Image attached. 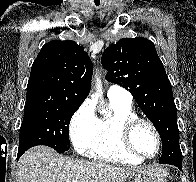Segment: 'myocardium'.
Listing matches in <instances>:
<instances>
[{"label": "myocardium", "instance_id": "1", "mask_svg": "<svg viewBox=\"0 0 196 182\" xmlns=\"http://www.w3.org/2000/svg\"><path fill=\"white\" fill-rule=\"evenodd\" d=\"M140 124L147 125L153 131L156 137L157 149L153 155H144L140 153L133 145L132 135L136 127L139 126ZM119 137L123 149L127 153L141 160H150L157 157L162 149V138L158 128L152 121L146 118L135 116L122 121L119 128Z\"/></svg>", "mask_w": 196, "mask_h": 182}]
</instances>
